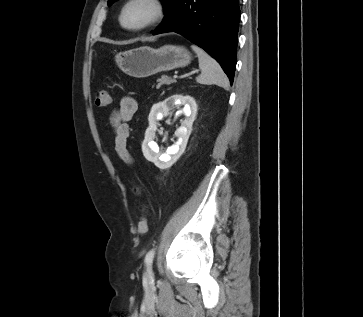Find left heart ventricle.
Listing matches in <instances>:
<instances>
[{"label": "left heart ventricle", "mask_w": 363, "mask_h": 317, "mask_svg": "<svg viewBox=\"0 0 363 317\" xmlns=\"http://www.w3.org/2000/svg\"><path fill=\"white\" fill-rule=\"evenodd\" d=\"M149 15V9L144 4H134L125 13L124 24L135 26L144 21Z\"/></svg>", "instance_id": "b2bd125f"}]
</instances>
